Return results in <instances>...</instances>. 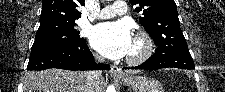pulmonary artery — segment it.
Returning a JSON list of instances; mask_svg holds the SVG:
<instances>
[{
  "label": "pulmonary artery",
  "mask_w": 225,
  "mask_h": 92,
  "mask_svg": "<svg viewBox=\"0 0 225 92\" xmlns=\"http://www.w3.org/2000/svg\"><path fill=\"white\" fill-rule=\"evenodd\" d=\"M127 12L126 3L124 1L112 2L107 7L103 8L97 15V19L111 18L117 14H124Z\"/></svg>",
  "instance_id": "pulmonary-artery-1"
}]
</instances>
